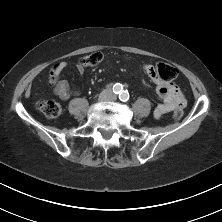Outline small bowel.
Returning a JSON list of instances; mask_svg holds the SVG:
<instances>
[{"instance_id":"c3829d8e","label":"small bowel","mask_w":222,"mask_h":222,"mask_svg":"<svg viewBox=\"0 0 222 222\" xmlns=\"http://www.w3.org/2000/svg\"><path fill=\"white\" fill-rule=\"evenodd\" d=\"M65 67V62L54 65L51 69L50 81L53 82V78L55 79ZM76 68L80 74H84L85 67L83 65L77 64ZM144 71H147L150 74L149 76L154 78L152 79L157 85V94L162 99V102L154 109V116L156 118H160L162 115L176 110L177 108H182L185 105V98L177 85L165 82L160 73L152 65H145ZM53 92L63 100L69 99L75 93L65 80L57 82Z\"/></svg>"}]
</instances>
